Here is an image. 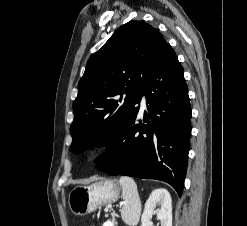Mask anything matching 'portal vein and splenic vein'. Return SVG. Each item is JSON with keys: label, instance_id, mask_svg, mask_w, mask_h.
<instances>
[{"label": "portal vein and splenic vein", "instance_id": "18ae733b", "mask_svg": "<svg viewBox=\"0 0 247 226\" xmlns=\"http://www.w3.org/2000/svg\"><path fill=\"white\" fill-rule=\"evenodd\" d=\"M113 225H114V221H108L104 223V226H113Z\"/></svg>", "mask_w": 247, "mask_h": 226}]
</instances>
